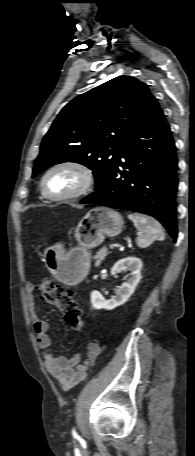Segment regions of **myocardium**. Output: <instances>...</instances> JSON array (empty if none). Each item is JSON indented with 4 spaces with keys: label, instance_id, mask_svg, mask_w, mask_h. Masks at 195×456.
Wrapping results in <instances>:
<instances>
[{
    "label": "myocardium",
    "instance_id": "f54148a6",
    "mask_svg": "<svg viewBox=\"0 0 195 456\" xmlns=\"http://www.w3.org/2000/svg\"><path fill=\"white\" fill-rule=\"evenodd\" d=\"M60 168H73V169L79 171L82 175V183L75 191H73L69 194L53 195V194L49 193L46 188V179L50 173H52L54 170H57ZM94 181H95L94 174L90 167H88L84 163H81L78 161L68 160V161H62V162L56 163L53 166H51L42 176L40 185H41L42 194L47 199H50L53 201H69V200H74V199H77V198H80V197L86 195L93 187Z\"/></svg>",
    "mask_w": 195,
    "mask_h": 456
}]
</instances>
